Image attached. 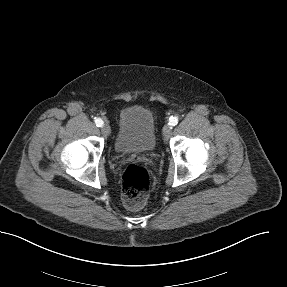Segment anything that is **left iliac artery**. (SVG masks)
<instances>
[{"mask_svg":"<svg viewBox=\"0 0 287 287\" xmlns=\"http://www.w3.org/2000/svg\"><path fill=\"white\" fill-rule=\"evenodd\" d=\"M177 123H178V118L177 117L171 116L169 118V125L170 126H175V125H177Z\"/></svg>","mask_w":287,"mask_h":287,"instance_id":"left-iliac-artery-1","label":"left iliac artery"}]
</instances>
